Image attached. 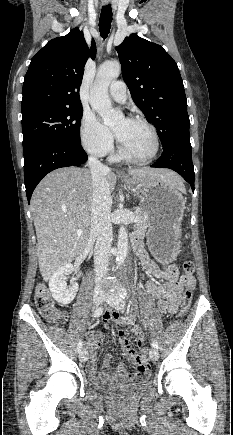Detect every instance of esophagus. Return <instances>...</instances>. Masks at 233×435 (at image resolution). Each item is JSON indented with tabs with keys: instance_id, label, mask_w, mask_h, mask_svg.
<instances>
[{
	"instance_id": "esophagus-1",
	"label": "esophagus",
	"mask_w": 233,
	"mask_h": 435,
	"mask_svg": "<svg viewBox=\"0 0 233 435\" xmlns=\"http://www.w3.org/2000/svg\"><path fill=\"white\" fill-rule=\"evenodd\" d=\"M109 3V0H103V4L107 5Z\"/></svg>"
}]
</instances>
